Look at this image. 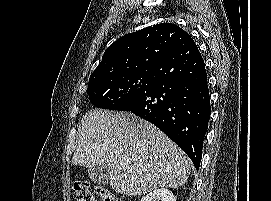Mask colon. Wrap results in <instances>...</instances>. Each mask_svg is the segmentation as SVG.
I'll return each instance as SVG.
<instances>
[{
    "label": "colon",
    "instance_id": "obj_1",
    "mask_svg": "<svg viewBox=\"0 0 271 201\" xmlns=\"http://www.w3.org/2000/svg\"><path fill=\"white\" fill-rule=\"evenodd\" d=\"M76 201H95L93 190L102 201H122L109 189L100 185H92L87 181H78L74 185Z\"/></svg>",
    "mask_w": 271,
    "mask_h": 201
}]
</instances>
